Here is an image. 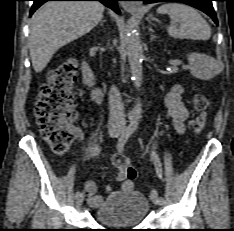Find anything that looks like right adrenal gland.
Wrapping results in <instances>:
<instances>
[{
    "label": "right adrenal gland",
    "mask_w": 234,
    "mask_h": 231,
    "mask_svg": "<svg viewBox=\"0 0 234 231\" xmlns=\"http://www.w3.org/2000/svg\"><path fill=\"white\" fill-rule=\"evenodd\" d=\"M104 22H106L105 19L101 21L100 25L103 26V23H104Z\"/></svg>",
    "instance_id": "obj_1"
}]
</instances>
